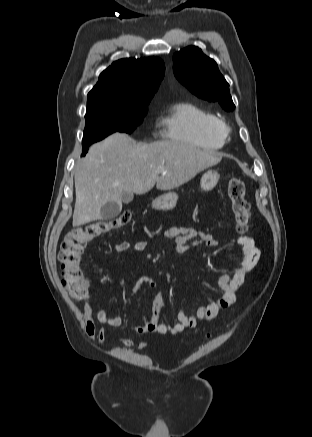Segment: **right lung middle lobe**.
<instances>
[{"label": "right lung middle lobe", "mask_w": 312, "mask_h": 437, "mask_svg": "<svg viewBox=\"0 0 312 437\" xmlns=\"http://www.w3.org/2000/svg\"><path fill=\"white\" fill-rule=\"evenodd\" d=\"M148 108L135 112H122L115 110L86 111V126L82 145L84 156L92 143L100 141L114 132L131 133L139 125Z\"/></svg>", "instance_id": "1"}]
</instances>
